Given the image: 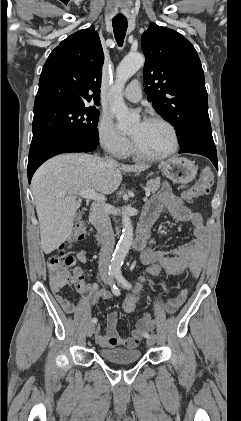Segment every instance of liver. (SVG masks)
<instances>
[{
    "instance_id": "1",
    "label": "liver",
    "mask_w": 241,
    "mask_h": 421,
    "mask_svg": "<svg viewBox=\"0 0 241 421\" xmlns=\"http://www.w3.org/2000/svg\"><path fill=\"white\" fill-rule=\"evenodd\" d=\"M148 168V164H109L85 153L62 154L45 162L31 182L42 250L51 253L71 234L80 207L76 195L82 191L112 194L122 181V171L141 172Z\"/></svg>"
}]
</instances>
